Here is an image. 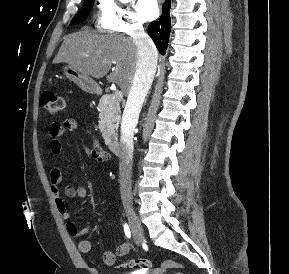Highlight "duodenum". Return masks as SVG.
<instances>
[{
  "instance_id": "410a0bca",
  "label": "duodenum",
  "mask_w": 289,
  "mask_h": 274,
  "mask_svg": "<svg viewBox=\"0 0 289 274\" xmlns=\"http://www.w3.org/2000/svg\"><path fill=\"white\" fill-rule=\"evenodd\" d=\"M109 149L110 151L115 154L118 155L121 152V144L118 140H111L108 143Z\"/></svg>"
}]
</instances>
